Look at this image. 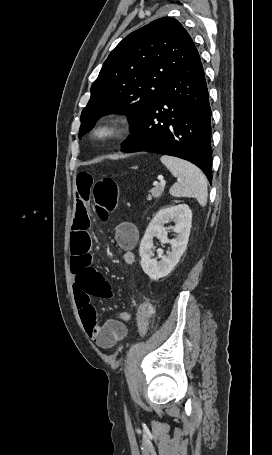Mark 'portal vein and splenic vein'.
<instances>
[{
    "label": "portal vein and splenic vein",
    "mask_w": 272,
    "mask_h": 455,
    "mask_svg": "<svg viewBox=\"0 0 272 455\" xmlns=\"http://www.w3.org/2000/svg\"><path fill=\"white\" fill-rule=\"evenodd\" d=\"M165 184H166L165 180H161V181H160V185H161L162 187H164Z\"/></svg>",
    "instance_id": "obj_1"
}]
</instances>
